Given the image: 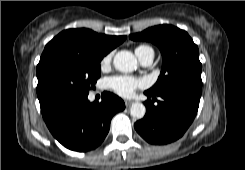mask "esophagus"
I'll return each instance as SVG.
<instances>
[{"label": "esophagus", "mask_w": 245, "mask_h": 170, "mask_svg": "<svg viewBox=\"0 0 245 170\" xmlns=\"http://www.w3.org/2000/svg\"><path fill=\"white\" fill-rule=\"evenodd\" d=\"M125 102V105L128 107V106H130L131 105V103H132V101L131 100H125L124 101Z\"/></svg>", "instance_id": "esophagus-1"}]
</instances>
